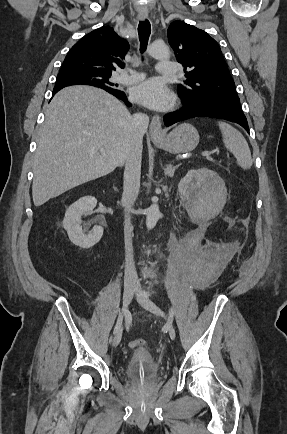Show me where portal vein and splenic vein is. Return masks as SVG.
<instances>
[{
    "label": "portal vein and splenic vein",
    "instance_id": "portal-vein-and-splenic-vein-1",
    "mask_svg": "<svg viewBox=\"0 0 287 434\" xmlns=\"http://www.w3.org/2000/svg\"><path fill=\"white\" fill-rule=\"evenodd\" d=\"M100 151L101 152H104V148L103 147H100ZM213 153H215V150H213V151H204V152H202V155L203 156H206V157H209L211 154H213Z\"/></svg>",
    "mask_w": 287,
    "mask_h": 434
}]
</instances>
